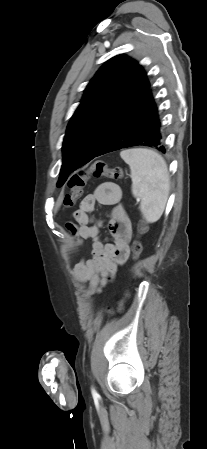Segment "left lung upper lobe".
<instances>
[{
	"mask_svg": "<svg viewBox=\"0 0 207 449\" xmlns=\"http://www.w3.org/2000/svg\"><path fill=\"white\" fill-rule=\"evenodd\" d=\"M149 89L142 67L126 56H115L99 69L67 127L57 187L94 158L112 129Z\"/></svg>",
	"mask_w": 207,
	"mask_h": 449,
	"instance_id": "1",
	"label": "left lung upper lobe"
}]
</instances>
